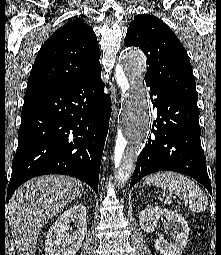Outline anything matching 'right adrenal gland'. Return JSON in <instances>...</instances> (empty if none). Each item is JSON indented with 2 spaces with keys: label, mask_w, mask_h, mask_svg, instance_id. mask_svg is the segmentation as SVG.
Masks as SVG:
<instances>
[{
  "label": "right adrenal gland",
  "mask_w": 221,
  "mask_h": 255,
  "mask_svg": "<svg viewBox=\"0 0 221 255\" xmlns=\"http://www.w3.org/2000/svg\"><path fill=\"white\" fill-rule=\"evenodd\" d=\"M82 194H87V193L82 189ZM82 194L80 195V197L82 196Z\"/></svg>",
  "instance_id": "right-adrenal-gland-1"
}]
</instances>
